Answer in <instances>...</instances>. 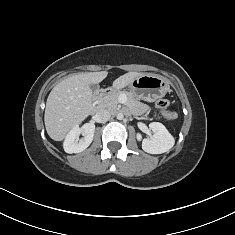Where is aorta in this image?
Returning a JSON list of instances; mask_svg holds the SVG:
<instances>
[{
  "label": "aorta",
  "instance_id": "1",
  "mask_svg": "<svg viewBox=\"0 0 235 235\" xmlns=\"http://www.w3.org/2000/svg\"><path fill=\"white\" fill-rule=\"evenodd\" d=\"M124 118V115L122 113L117 114V119L122 120Z\"/></svg>",
  "mask_w": 235,
  "mask_h": 235
}]
</instances>
